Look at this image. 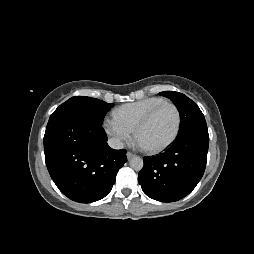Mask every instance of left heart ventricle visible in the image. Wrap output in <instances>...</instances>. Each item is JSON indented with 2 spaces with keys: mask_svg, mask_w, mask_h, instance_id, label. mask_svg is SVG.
I'll return each instance as SVG.
<instances>
[{
  "mask_svg": "<svg viewBox=\"0 0 254 254\" xmlns=\"http://www.w3.org/2000/svg\"><path fill=\"white\" fill-rule=\"evenodd\" d=\"M175 126L176 112L172 106L165 105L140 131L138 139L144 147H158L172 136Z\"/></svg>",
  "mask_w": 254,
  "mask_h": 254,
  "instance_id": "b2bd125f",
  "label": "left heart ventricle"
}]
</instances>
